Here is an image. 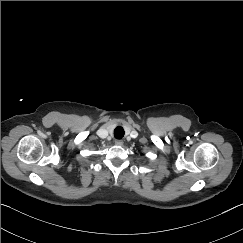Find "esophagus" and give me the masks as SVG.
Segmentation results:
<instances>
[{
	"instance_id": "esophagus-1",
	"label": "esophagus",
	"mask_w": 243,
	"mask_h": 243,
	"mask_svg": "<svg viewBox=\"0 0 243 243\" xmlns=\"http://www.w3.org/2000/svg\"><path fill=\"white\" fill-rule=\"evenodd\" d=\"M115 145L122 146L123 145V141L122 140H115Z\"/></svg>"
}]
</instances>
